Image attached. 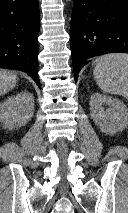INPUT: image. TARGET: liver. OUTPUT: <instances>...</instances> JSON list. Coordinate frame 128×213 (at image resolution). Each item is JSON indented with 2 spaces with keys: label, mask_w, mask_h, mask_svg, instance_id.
<instances>
[{
  "label": "liver",
  "mask_w": 128,
  "mask_h": 213,
  "mask_svg": "<svg viewBox=\"0 0 128 213\" xmlns=\"http://www.w3.org/2000/svg\"><path fill=\"white\" fill-rule=\"evenodd\" d=\"M17 76L10 71L0 69V96L16 86Z\"/></svg>",
  "instance_id": "obj_1"
}]
</instances>
